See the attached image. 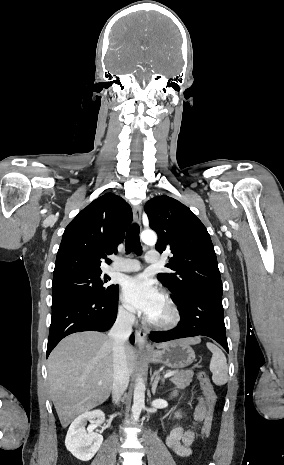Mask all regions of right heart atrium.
Wrapping results in <instances>:
<instances>
[{"mask_svg": "<svg viewBox=\"0 0 284 465\" xmlns=\"http://www.w3.org/2000/svg\"><path fill=\"white\" fill-rule=\"evenodd\" d=\"M116 316L121 322L126 323V324H131L135 320L132 311L123 304H119L117 306Z\"/></svg>", "mask_w": 284, "mask_h": 465, "instance_id": "obj_1", "label": "right heart atrium"}]
</instances>
